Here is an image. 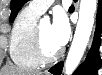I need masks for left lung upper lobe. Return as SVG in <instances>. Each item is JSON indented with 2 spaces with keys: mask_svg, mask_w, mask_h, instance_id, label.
Here are the masks:
<instances>
[{
  "mask_svg": "<svg viewBox=\"0 0 102 75\" xmlns=\"http://www.w3.org/2000/svg\"><path fill=\"white\" fill-rule=\"evenodd\" d=\"M27 1L28 0H11V3H10V6H11L10 22H12L15 19L19 10L22 8V6ZM70 10H71V8H70Z\"/></svg>",
  "mask_w": 102,
  "mask_h": 75,
  "instance_id": "obj_1",
  "label": "left lung upper lobe"
}]
</instances>
